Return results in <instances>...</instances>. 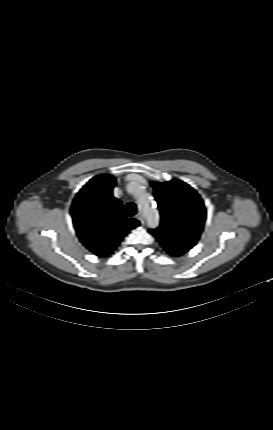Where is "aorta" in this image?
<instances>
[{
    "mask_svg": "<svg viewBox=\"0 0 273 430\" xmlns=\"http://www.w3.org/2000/svg\"><path fill=\"white\" fill-rule=\"evenodd\" d=\"M141 186L137 185L136 193L141 212L146 218V221L150 227L158 226L160 222V215L152 204L151 195L146 191H141Z\"/></svg>",
    "mask_w": 273,
    "mask_h": 430,
    "instance_id": "1",
    "label": "aorta"
}]
</instances>
